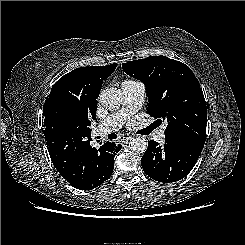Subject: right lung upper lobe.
<instances>
[{
  "instance_id": "obj_1",
  "label": "right lung upper lobe",
  "mask_w": 245,
  "mask_h": 245,
  "mask_svg": "<svg viewBox=\"0 0 245 245\" xmlns=\"http://www.w3.org/2000/svg\"><path fill=\"white\" fill-rule=\"evenodd\" d=\"M116 66L77 68L54 84L43 106L47 142L64 137L68 144L80 147L91 140L88 126L91 119H96V99L103 80L113 73Z\"/></svg>"
}]
</instances>
